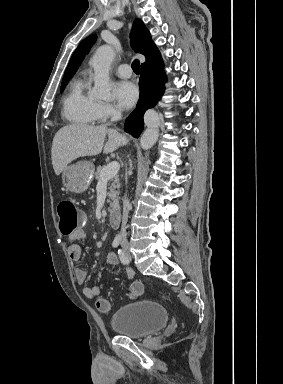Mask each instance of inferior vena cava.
Here are the masks:
<instances>
[{"mask_svg":"<svg viewBox=\"0 0 283 384\" xmlns=\"http://www.w3.org/2000/svg\"><path fill=\"white\" fill-rule=\"evenodd\" d=\"M110 114L112 116L111 122H115V120H118V118H121V108H111ZM108 126V124H107ZM131 206L129 204L128 198H124L123 200V216H122V226H121V246L122 248H128V240H127V234H126V224L128 220V214Z\"/></svg>","mask_w":283,"mask_h":384,"instance_id":"602c4592","label":"inferior vena cava"}]
</instances>
